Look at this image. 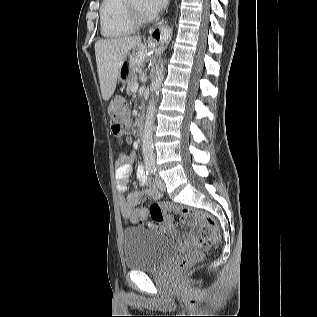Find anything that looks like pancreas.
Segmentation results:
<instances>
[{"label":"pancreas","instance_id":"cf45deb5","mask_svg":"<svg viewBox=\"0 0 317 317\" xmlns=\"http://www.w3.org/2000/svg\"><path fill=\"white\" fill-rule=\"evenodd\" d=\"M137 63V62H136ZM137 77L135 72H132V75L129 76L126 91L128 94L133 93L136 88Z\"/></svg>","mask_w":317,"mask_h":317}]
</instances>
